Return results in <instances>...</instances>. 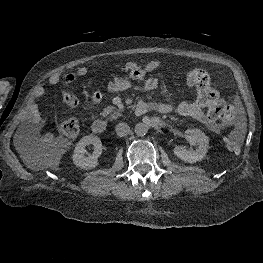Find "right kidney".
<instances>
[{"label":"right kidney","instance_id":"right-kidney-1","mask_svg":"<svg viewBox=\"0 0 263 263\" xmlns=\"http://www.w3.org/2000/svg\"><path fill=\"white\" fill-rule=\"evenodd\" d=\"M89 144H92L94 146V151L90 156L86 157L84 155L86 153L85 147ZM101 153V140L94 135L84 136L75 147L73 154V163L81 169H93L98 165V157H100Z\"/></svg>","mask_w":263,"mask_h":263}]
</instances>
